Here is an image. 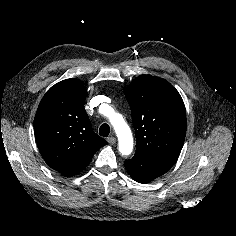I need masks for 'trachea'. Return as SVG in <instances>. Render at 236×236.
<instances>
[{
    "label": "trachea",
    "instance_id": "trachea-1",
    "mask_svg": "<svg viewBox=\"0 0 236 236\" xmlns=\"http://www.w3.org/2000/svg\"><path fill=\"white\" fill-rule=\"evenodd\" d=\"M109 133H110L109 125L106 123L102 124L99 129V135L103 137H108Z\"/></svg>",
    "mask_w": 236,
    "mask_h": 236
}]
</instances>
